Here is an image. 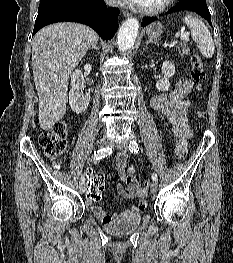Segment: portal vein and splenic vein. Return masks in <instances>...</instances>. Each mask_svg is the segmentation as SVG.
<instances>
[{
	"instance_id": "obj_1",
	"label": "portal vein and splenic vein",
	"mask_w": 233,
	"mask_h": 263,
	"mask_svg": "<svg viewBox=\"0 0 233 263\" xmlns=\"http://www.w3.org/2000/svg\"><path fill=\"white\" fill-rule=\"evenodd\" d=\"M180 38L183 41H188L189 40V34L188 33H183V34L180 35ZM176 44H177V41H173V42L170 43L169 47H173Z\"/></svg>"
}]
</instances>
